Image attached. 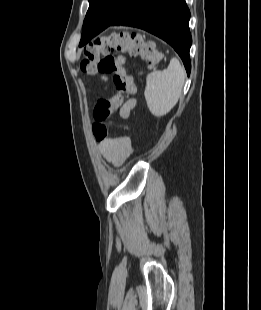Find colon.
Returning a JSON list of instances; mask_svg holds the SVG:
<instances>
[{"label":"colon","mask_w":261,"mask_h":310,"mask_svg":"<svg viewBox=\"0 0 261 310\" xmlns=\"http://www.w3.org/2000/svg\"><path fill=\"white\" fill-rule=\"evenodd\" d=\"M116 53L130 57H140L150 68H155L161 61V54L151 43L144 42L136 33L125 31L113 32L99 37L83 52L80 69L87 75L112 74L117 94L109 99L98 100L94 108L92 132L97 140L108 136L105 122L123 104L124 98L135 93V84L125 69V60Z\"/></svg>","instance_id":"obj_1"}]
</instances>
